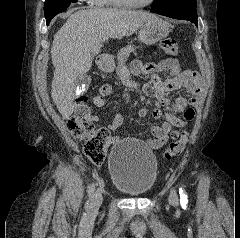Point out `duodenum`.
<instances>
[{
	"label": "duodenum",
	"instance_id": "obj_1",
	"mask_svg": "<svg viewBox=\"0 0 240 238\" xmlns=\"http://www.w3.org/2000/svg\"><path fill=\"white\" fill-rule=\"evenodd\" d=\"M100 69H102L103 71L107 70L108 67V61L105 58H101L97 61Z\"/></svg>",
	"mask_w": 240,
	"mask_h": 238
}]
</instances>
